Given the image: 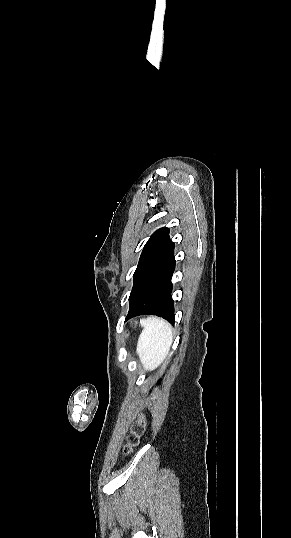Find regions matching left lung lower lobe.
<instances>
[{"label": "left lung lower lobe", "mask_w": 291, "mask_h": 538, "mask_svg": "<svg viewBox=\"0 0 291 538\" xmlns=\"http://www.w3.org/2000/svg\"><path fill=\"white\" fill-rule=\"evenodd\" d=\"M175 269L174 243L156 258L136 282L126 320L138 315H156L174 323L171 277ZM162 320V319H161Z\"/></svg>", "instance_id": "left-lung-lower-lobe-1"}]
</instances>
